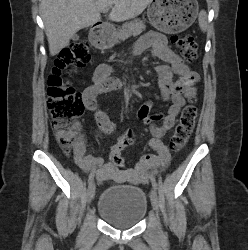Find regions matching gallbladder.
<instances>
[{
    "mask_svg": "<svg viewBox=\"0 0 248 250\" xmlns=\"http://www.w3.org/2000/svg\"><path fill=\"white\" fill-rule=\"evenodd\" d=\"M73 40H78L79 39V36L77 34H74L72 37H71Z\"/></svg>",
    "mask_w": 248,
    "mask_h": 250,
    "instance_id": "gallbladder-1",
    "label": "gallbladder"
}]
</instances>
